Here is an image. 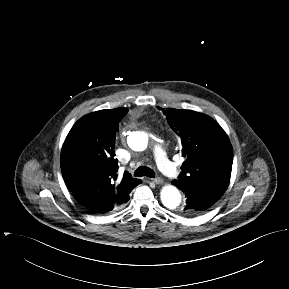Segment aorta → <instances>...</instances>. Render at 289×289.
<instances>
[{
  "label": "aorta",
  "mask_w": 289,
  "mask_h": 289,
  "mask_svg": "<svg viewBox=\"0 0 289 289\" xmlns=\"http://www.w3.org/2000/svg\"><path fill=\"white\" fill-rule=\"evenodd\" d=\"M129 147L134 151H143L147 148L148 138L143 132H134L127 139ZM162 204L170 209H176L181 203V194L175 186H165L161 190Z\"/></svg>",
  "instance_id": "aorta-1"
}]
</instances>
